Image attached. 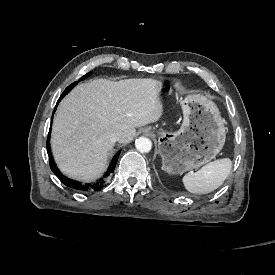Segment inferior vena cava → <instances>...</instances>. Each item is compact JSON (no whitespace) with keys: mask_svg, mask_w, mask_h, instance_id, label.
Segmentation results:
<instances>
[{"mask_svg":"<svg viewBox=\"0 0 275 275\" xmlns=\"http://www.w3.org/2000/svg\"><path fill=\"white\" fill-rule=\"evenodd\" d=\"M122 135H123L122 132H115V133H113L111 135V141L114 142V143L117 142V141H119L121 139Z\"/></svg>","mask_w":275,"mask_h":275,"instance_id":"1","label":"inferior vena cava"}]
</instances>
